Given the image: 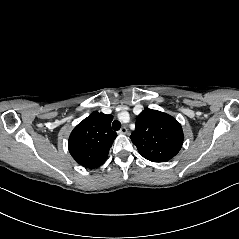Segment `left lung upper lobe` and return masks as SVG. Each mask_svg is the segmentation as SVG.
<instances>
[{"label":"left lung upper lobe","instance_id":"obj_1","mask_svg":"<svg viewBox=\"0 0 239 239\" xmlns=\"http://www.w3.org/2000/svg\"><path fill=\"white\" fill-rule=\"evenodd\" d=\"M130 138L144 158L165 162L180 151L184 135L175 118L157 110L145 109L138 115Z\"/></svg>","mask_w":239,"mask_h":239}]
</instances>
